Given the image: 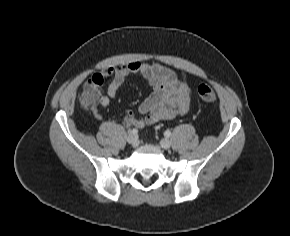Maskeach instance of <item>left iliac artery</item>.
Returning a JSON list of instances; mask_svg holds the SVG:
<instances>
[{
    "mask_svg": "<svg viewBox=\"0 0 290 236\" xmlns=\"http://www.w3.org/2000/svg\"><path fill=\"white\" fill-rule=\"evenodd\" d=\"M165 136L169 137L171 135V131L170 130H166L164 133Z\"/></svg>",
    "mask_w": 290,
    "mask_h": 236,
    "instance_id": "obj_1",
    "label": "left iliac artery"
}]
</instances>
